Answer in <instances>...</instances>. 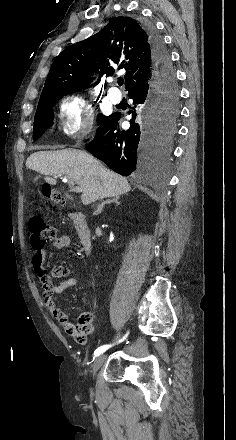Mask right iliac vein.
Masks as SVG:
<instances>
[{"label":"right iliac vein","instance_id":"obj_1","mask_svg":"<svg viewBox=\"0 0 236 440\" xmlns=\"http://www.w3.org/2000/svg\"><path fill=\"white\" fill-rule=\"evenodd\" d=\"M105 359H106L105 355H100L95 359V361L92 365L93 375H95L96 372L100 369V367L103 365Z\"/></svg>","mask_w":236,"mask_h":440}]
</instances>
